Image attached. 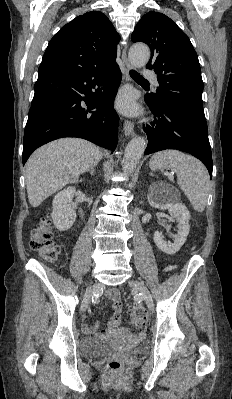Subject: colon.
<instances>
[{
  "mask_svg": "<svg viewBox=\"0 0 232 399\" xmlns=\"http://www.w3.org/2000/svg\"><path fill=\"white\" fill-rule=\"evenodd\" d=\"M27 247L39 256L55 261L59 257L58 245L53 243L52 228L49 222L38 223V229L34 230L32 237L27 241ZM132 324H147L146 308H131ZM123 353H131L132 347L129 340H120ZM111 374H122L124 363L120 355L110 356Z\"/></svg>",
  "mask_w": 232,
  "mask_h": 399,
  "instance_id": "obj_1",
  "label": "colon"
}]
</instances>
